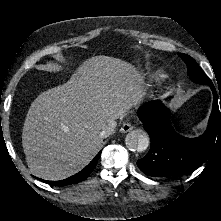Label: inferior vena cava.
<instances>
[{"mask_svg":"<svg viewBox=\"0 0 221 221\" xmlns=\"http://www.w3.org/2000/svg\"><path fill=\"white\" fill-rule=\"evenodd\" d=\"M115 127H116L115 122H111L109 125L104 126V128L100 132V137L106 138V137L110 136L114 132Z\"/></svg>","mask_w":221,"mask_h":221,"instance_id":"inferior-vena-cava-1","label":"inferior vena cava"}]
</instances>
